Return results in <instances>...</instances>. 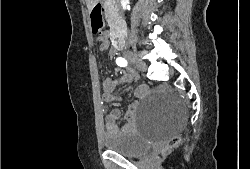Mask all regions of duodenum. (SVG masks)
<instances>
[{"mask_svg": "<svg viewBox=\"0 0 250 169\" xmlns=\"http://www.w3.org/2000/svg\"><path fill=\"white\" fill-rule=\"evenodd\" d=\"M109 39L116 49L125 47L127 43V32L122 21H116L112 26V30L109 33Z\"/></svg>", "mask_w": 250, "mask_h": 169, "instance_id": "duodenum-1", "label": "duodenum"}]
</instances>
